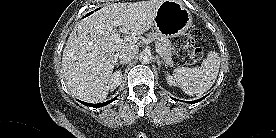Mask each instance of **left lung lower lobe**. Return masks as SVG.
I'll return each instance as SVG.
<instances>
[{
    "label": "left lung lower lobe",
    "mask_w": 276,
    "mask_h": 138,
    "mask_svg": "<svg viewBox=\"0 0 276 138\" xmlns=\"http://www.w3.org/2000/svg\"><path fill=\"white\" fill-rule=\"evenodd\" d=\"M206 96H207V95H206ZM206 96H204V97H202V98H200V99H197V100H195V101H188V103H192V104L197 103V102L203 100ZM174 100H176V99L174 98Z\"/></svg>",
    "instance_id": "obj_1"
}]
</instances>
